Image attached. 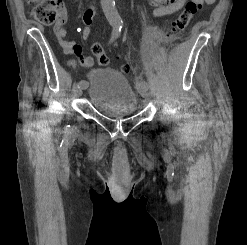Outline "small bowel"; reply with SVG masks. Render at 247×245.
<instances>
[{
  "mask_svg": "<svg viewBox=\"0 0 247 245\" xmlns=\"http://www.w3.org/2000/svg\"><path fill=\"white\" fill-rule=\"evenodd\" d=\"M187 0H149L154 7L153 15L157 18L169 16L178 12ZM201 5H211L215 0H198ZM95 15L93 7L88 8L83 14L84 28L82 29V38L87 39L91 32V25ZM68 18L67 10L64 6L59 7V19L54 26V33L65 53H74L78 60H71L69 64L76 66L80 63L84 67H91L94 63L92 56H83L82 50L75 42L67 40V32L64 27Z\"/></svg>",
  "mask_w": 247,
  "mask_h": 245,
  "instance_id": "obj_1",
  "label": "small bowel"
}]
</instances>
